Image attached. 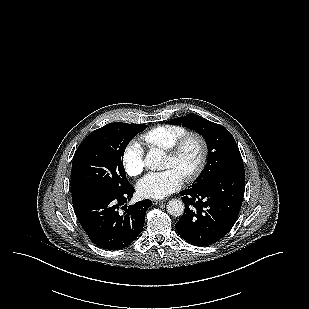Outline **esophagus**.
Returning <instances> with one entry per match:
<instances>
[{"label": "esophagus", "instance_id": "1", "mask_svg": "<svg viewBox=\"0 0 309 309\" xmlns=\"http://www.w3.org/2000/svg\"><path fill=\"white\" fill-rule=\"evenodd\" d=\"M161 202H163V201L157 200V199H152V203H153L154 205L160 204Z\"/></svg>", "mask_w": 309, "mask_h": 309}]
</instances>
